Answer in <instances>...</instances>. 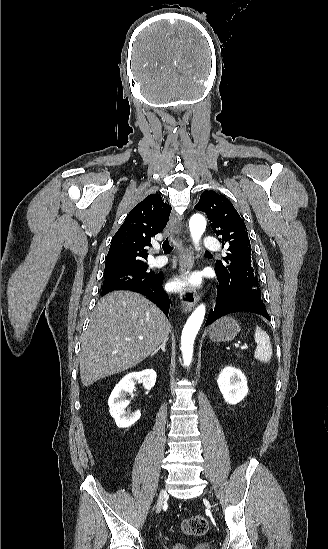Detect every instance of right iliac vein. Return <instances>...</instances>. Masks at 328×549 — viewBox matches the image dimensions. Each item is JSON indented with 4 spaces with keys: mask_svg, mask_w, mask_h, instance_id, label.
<instances>
[{
    "mask_svg": "<svg viewBox=\"0 0 328 549\" xmlns=\"http://www.w3.org/2000/svg\"><path fill=\"white\" fill-rule=\"evenodd\" d=\"M167 497V493L164 489H162L160 491V494H159V499H158V504H157V510L156 512L159 513L162 509V506H163V501L164 499Z\"/></svg>",
    "mask_w": 328,
    "mask_h": 549,
    "instance_id": "obj_1",
    "label": "right iliac vein"
}]
</instances>
